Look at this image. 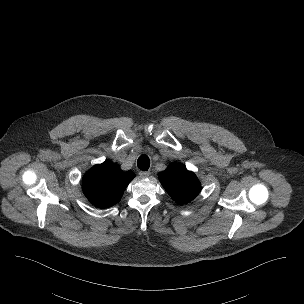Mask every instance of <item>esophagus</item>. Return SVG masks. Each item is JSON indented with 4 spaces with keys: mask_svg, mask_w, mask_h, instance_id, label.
Returning a JSON list of instances; mask_svg holds the SVG:
<instances>
[{
    "mask_svg": "<svg viewBox=\"0 0 304 304\" xmlns=\"http://www.w3.org/2000/svg\"><path fill=\"white\" fill-rule=\"evenodd\" d=\"M149 175H150V172H149V171H140V172H139V176H140L141 178H147Z\"/></svg>",
    "mask_w": 304,
    "mask_h": 304,
    "instance_id": "obj_1",
    "label": "esophagus"
}]
</instances>
